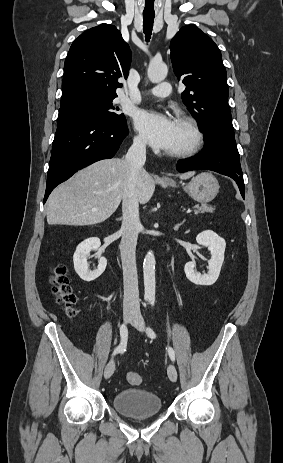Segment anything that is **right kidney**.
I'll return each instance as SVG.
<instances>
[{"mask_svg": "<svg viewBox=\"0 0 283 463\" xmlns=\"http://www.w3.org/2000/svg\"><path fill=\"white\" fill-rule=\"evenodd\" d=\"M101 245L100 239L93 237L88 238L81 242L74 253L73 262L74 269L79 277L87 282L97 279L104 271L107 266V260L105 257H100L98 266L95 270H89L87 257L92 250H97Z\"/></svg>", "mask_w": 283, "mask_h": 463, "instance_id": "1", "label": "right kidney"}]
</instances>
